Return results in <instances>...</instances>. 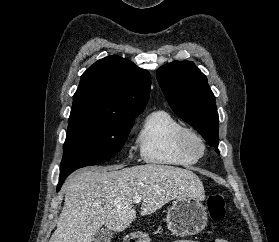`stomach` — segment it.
<instances>
[{"mask_svg": "<svg viewBox=\"0 0 279 242\" xmlns=\"http://www.w3.org/2000/svg\"><path fill=\"white\" fill-rule=\"evenodd\" d=\"M207 212L204 205L195 197H180L169 207L166 223L169 231L185 237L200 233L207 225ZM135 242H149L146 234L137 232L131 235Z\"/></svg>", "mask_w": 279, "mask_h": 242, "instance_id": "1", "label": "stomach"}]
</instances>
